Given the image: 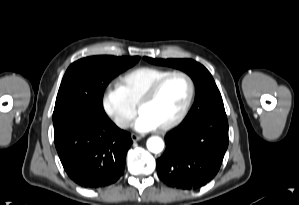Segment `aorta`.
Wrapping results in <instances>:
<instances>
[{"label": "aorta", "instance_id": "aorta-1", "mask_svg": "<svg viewBox=\"0 0 299 205\" xmlns=\"http://www.w3.org/2000/svg\"><path fill=\"white\" fill-rule=\"evenodd\" d=\"M147 148L152 153H160L164 148V142L160 137H150L147 140Z\"/></svg>", "mask_w": 299, "mask_h": 205}]
</instances>
